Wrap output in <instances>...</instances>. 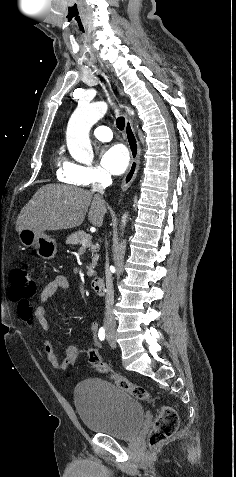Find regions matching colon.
<instances>
[{
    "label": "colon",
    "mask_w": 236,
    "mask_h": 477,
    "mask_svg": "<svg viewBox=\"0 0 236 477\" xmlns=\"http://www.w3.org/2000/svg\"><path fill=\"white\" fill-rule=\"evenodd\" d=\"M10 281L9 297L18 303V312L23 314L31 308L30 300L36 294V283L31 278L29 269L24 264L12 269ZM86 357L89 363L98 371L103 373L110 372L109 364L102 360L95 352L88 351ZM112 378L119 388L127 391L135 398L145 401L151 399L149 392L145 388L119 376L112 375ZM178 423L177 413L170 407H163L152 430L150 444L156 446L165 442L177 431Z\"/></svg>",
    "instance_id": "colon-1"
}]
</instances>
